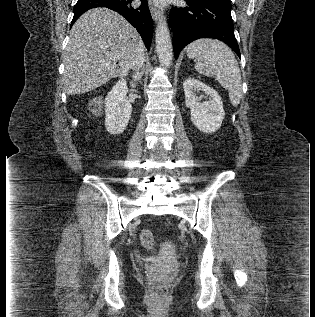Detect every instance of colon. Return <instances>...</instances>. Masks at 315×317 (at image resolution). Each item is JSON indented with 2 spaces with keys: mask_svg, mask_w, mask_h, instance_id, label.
I'll use <instances>...</instances> for the list:
<instances>
[{
  "mask_svg": "<svg viewBox=\"0 0 315 317\" xmlns=\"http://www.w3.org/2000/svg\"><path fill=\"white\" fill-rule=\"evenodd\" d=\"M140 240L147 250H154L155 240L152 231L149 229H143L140 233ZM149 289L151 297L155 300H161L165 298L167 294L166 284L158 278L149 279Z\"/></svg>",
  "mask_w": 315,
  "mask_h": 317,
  "instance_id": "1",
  "label": "colon"
}]
</instances>
